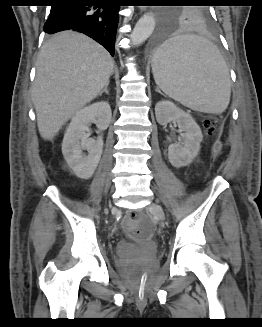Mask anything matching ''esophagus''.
<instances>
[{
	"label": "esophagus",
	"mask_w": 262,
	"mask_h": 327,
	"mask_svg": "<svg viewBox=\"0 0 262 327\" xmlns=\"http://www.w3.org/2000/svg\"><path fill=\"white\" fill-rule=\"evenodd\" d=\"M144 10V8H141V11H143Z\"/></svg>",
	"instance_id": "1"
}]
</instances>
